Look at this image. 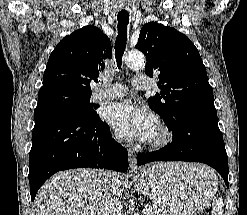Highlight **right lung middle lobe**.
Segmentation results:
<instances>
[{
    "instance_id": "1",
    "label": "right lung middle lobe",
    "mask_w": 247,
    "mask_h": 215,
    "mask_svg": "<svg viewBox=\"0 0 247 215\" xmlns=\"http://www.w3.org/2000/svg\"><path fill=\"white\" fill-rule=\"evenodd\" d=\"M90 97L91 95L66 88L43 89L38 93V101L53 103L83 117L97 118L99 116L94 111V104L89 102Z\"/></svg>"
}]
</instances>
